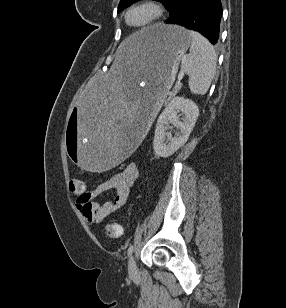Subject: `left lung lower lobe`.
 <instances>
[{
  "label": "left lung lower lobe",
  "instance_id": "obj_1",
  "mask_svg": "<svg viewBox=\"0 0 286 308\" xmlns=\"http://www.w3.org/2000/svg\"><path fill=\"white\" fill-rule=\"evenodd\" d=\"M164 22L198 31L212 44L219 39L222 5L220 0H173Z\"/></svg>",
  "mask_w": 286,
  "mask_h": 308
}]
</instances>
